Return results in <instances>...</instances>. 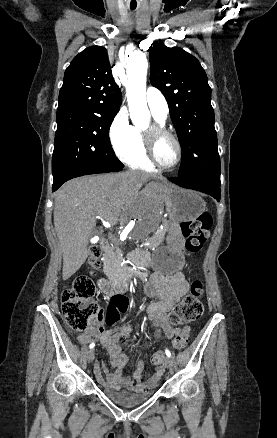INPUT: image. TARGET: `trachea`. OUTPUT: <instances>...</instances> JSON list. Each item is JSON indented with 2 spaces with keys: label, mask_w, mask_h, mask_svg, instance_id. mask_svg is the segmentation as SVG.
<instances>
[{
  "label": "trachea",
  "mask_w": 277,
  "mask_h": 438,
  "mask_svg": "<svg viewBox=\"0 0 277 438\" xmlns=\"http://www.w3.org/2000/svg\"><path fill=\"white\" fill-rule=\"evenodd\" d=\"M131 10H135V7H134V8H131Z\"/></svg>",
  "instance_id": "obj_1"
}]
</instances>
